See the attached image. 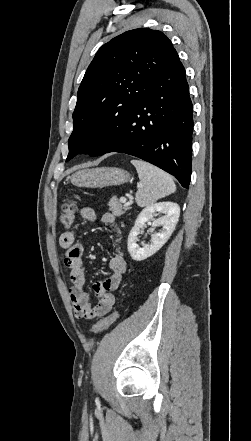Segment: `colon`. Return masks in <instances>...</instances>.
<instances>
[{
	"mask_svg": "<svg viewBox=\"0 0 251 441\" xmlns=\"http://www.w3.org/2000/svg\"><path fill=\"white\" fill-rule=\"evenodd\" d=\"M77 210V200L75 195L67 197L62 205V214L60 215V222L64 228H70L74 222ZM119 313L117 311L104 317L96 322L92 328L91 333L96 335L103 330L109 328L118 319Z\"/></svg>",
	"mask_w": 251,
	"mask_h": 441,
	"instance_id": "5ec220e1",
	"label": "colon"
}]
</instances>
